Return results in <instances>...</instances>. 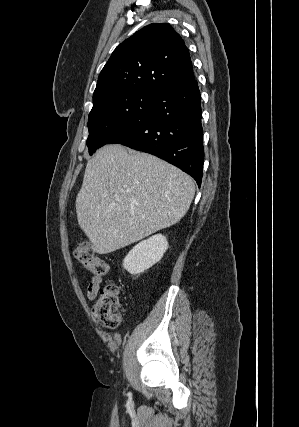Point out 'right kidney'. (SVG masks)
I'll use <instances>...</instances> for the list:
<instances>
[{"label": "right kidney", "instance_id": "right-kidney-1", "mask_svg": "<svg viewBox=\"0 0 299 427\" xmlns=\"http://www.w3.org/2000/svg\"><path fill=\"white\" fill-rule=\"evenodd\" d=\"M167 249L166 237L156 234L133 247L124 258L123 267L132 275L143 273L159 262Z\"/></svg>", "mask_w": 299, "mask_h": 427}]
</instances>
